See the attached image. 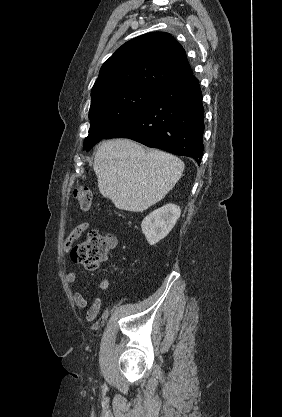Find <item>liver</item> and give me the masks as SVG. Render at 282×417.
<instances>
[{
    "label": "liver",
    "instance_id": "1",
    "mask_svg": "<svg viewBox=\"0 0 282 417\" xmlns=\"http://www.w3.org/2000/svg\"><path fill=\"white\" fill-rule=\"evenodd\" d=\"M93 168L101 194L122 211H146L178 182L184 162L163 150L146 152L129 138L104 140Z\"/></svg>",
    "mask_w": 282,
    "mask_h": 417
}]
</instances>
